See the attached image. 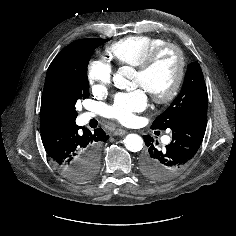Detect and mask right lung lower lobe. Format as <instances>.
I'll use <instances>...</instances> for the list:
<instances>
[{"instance_id": "obj_1", "label": "right lung lower lobe", "mask_w": 236, "mask_h": 236, "mask_svg": "<svg viewBox=\"0 0 236 236\" xmlns=\"http://www.w3.org/2000/svg\"><path fill=\"white\" fill-rule=\"evenodd\" d=\"M40 132L48 156L73 181H83V172L109 138L101 128L91 132L77 126L75 119L41 124Z\"/></svg>"}]
</instances>
